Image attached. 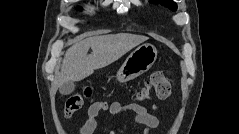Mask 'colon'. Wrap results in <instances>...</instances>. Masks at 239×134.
<instances>
[{
  "mask_svg": "<svg viewBox=\"0 0 239 134\" xmlns=\"http://www.w3.org/2000/svg\"><path fill=\"white\" fill-rule=\"evenodd\" d=\"M171 92L172 80L169 73L155 71L150 75L138 98L141 101H148L154 94L160 99H166L171 95ZM91 94L92 90L89 86H84L79 92L72 94L65 103L64 115L70 118L80 111Z\"/></svg>",
  "mask_w": 239,
  "mask_h": 134,
  "instance_id": "colon-1",
  "label": "colon"
}]
</instances>
